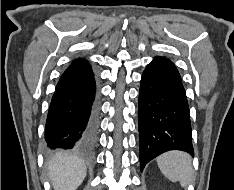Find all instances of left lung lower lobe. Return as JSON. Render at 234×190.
Instances as JSON below:
<instances>
[{
    "label": "left lung lower lobe",
    "instance_id": "0a47b994",
    "mask_svg": "<svg viewBox=\"0 0 234 190\" xmlns=\"http://www.w3.org/2000/svg\"><path fill=\"white\" fill-rule=\"evenodd\" d=\"M138 130L141 171L169 150L194 156L185 89L177 68L166 57H155L142 74Z\"/></svg>",
    "mask_w": 234,
    "mask_h": 190
}]
</instances>
